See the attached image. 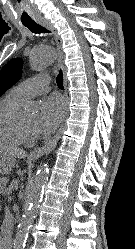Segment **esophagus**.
I'll list each match as a JSON object with an SVG mask.
<instances>
[{
	"mask_svg": "<svg viewBox=\"0 0 135 249\" xmlns=\"http://www.w3.org/2000/svg\"><path fill=\"white\" fill-rule=\"evenodd\" d=\"M39 24H41L42 26H44L45 28H47L53 35L55 42H56V46H57V50L59 53V58H58V66L62 69L63 71V82H64V88L65 91L67 89V78H66V67L64 64V52L62 49V39L61 37L58 35L57 30L55 29V27L50 23L49 20H39L38 21ZM68 115V103L66 102V107H65V113H64V118L62 121V124L59 128V130L57 131V133L54 135V137L52 139H50L47 143H45L44 146L39 147V148H35L34 150H32L29 154V157L32 159H38L41 156H43L44 154H48L50 153L57 145L58 140L60 138V135L63 131V127H64V123H65V119Z\"/></svg>",
	"mask_w": 135,
	"mask_h": 249,
	"instance_id": "1",
	"label": "esophagus"
}]
</instances>
